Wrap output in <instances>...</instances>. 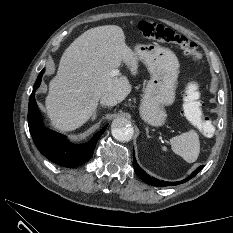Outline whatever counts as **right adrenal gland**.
Masks as SVG:
<instances>
[{"mask_svg":"<svg viewBox=\"0 0 233 233\" xmlns=\"http://www.w3.org/2000/svg\"><path fill=\"white\" fill-rule=\"evenodd\" d=\"M96 112H97V110H95V112L92 115V118H91L92 121L95 120V118H96Z\"/></svg>","mask_w":233,"mask_h":233,"instance_id":"obj_1","label":"right adrenal gland"}]
</instances>
